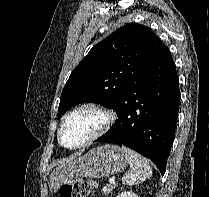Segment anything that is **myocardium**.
<instances>
[{"label": "myocardium", "mask_w": 209, "mask_h": 197, "mask_svg": "<svg viewBox=\"0 0 209 197\" xmlns=\"http://www.w3.org/2000/svg\"><path fill=\"white\" fill-rule=\"evenodd\" d=\"M84 109H92V110H96V111L100 112L104 118L102 125L80 144L75 145V146H71V147L64 145L62 142L61 136H62V130H63L65 123L75 113H77L78 111L84 110ZM115 118H116L115 112L113 111V109H111L107 105H104V104L96 102V101H88V102L81 103V104L77 105L76 107H74L73 109H71L70 111H68L63 116L60 126H59V129H58V133H57L58 142L62 147L66 148L68 150H77V149L83 148V147L91 144L92 142L96 141L97 139L101 138L103 135H105L109 131L111 126L114 124Z\"/></svg>", "instance_id": "myocardium-1"}]
</instances>
